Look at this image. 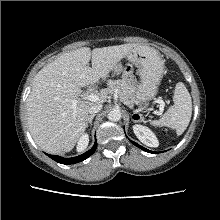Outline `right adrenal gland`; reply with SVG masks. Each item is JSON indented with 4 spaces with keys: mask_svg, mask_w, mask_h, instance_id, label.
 Masks as SVG:
<instances>
[{
    "mask_svg": "<svg viewBox=\"0 0 220 220\" xmlns=\"http://www.w3.org/2000/svg\"><path fill=\"white\" fill-rule=\"evenodd\" d=\"M94 117H95V115H92V116L90 117V120H89L90 126L92 125V120H93ZM87 127H88V125H87Z\"/></svg>",
    "mask_w": 220,
    "mask_h": 220,
    "instance_id": "2a0ac1e0",
    "label": "right adrenal gland"
}]
</instances>
